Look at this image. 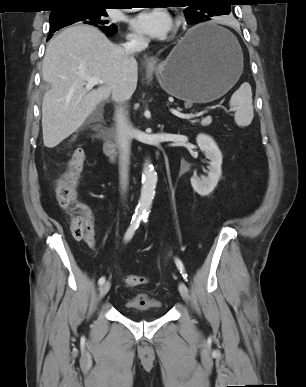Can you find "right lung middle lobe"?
Returning a JSON list of instances; mask_svg holds the SVG:
<instances>
[{
    "label": "right lung middle lobe",
    "mask_w": 306,
    "mask_h": 387,
    "mask_svg": "<svg viewBox=\"0 0 306 387\" xmlns=\"http://www.w3.org/2000/svg\"><path fill=\"white\" fill-rule=\"evenodd\" d=\"M50 14V32L53 33L65 26L80 22L91 24L102 31L115 30L116 25L105 20L106 9L99 6H72L59 9Z\"/></svg>",
    "instance_id": "obj_1"
}]
</instances>
